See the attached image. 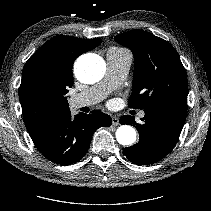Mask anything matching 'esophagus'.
<instances>
[{
    "instance_id": "esophagus-1",
    "label": "esophagus",
    "mask_w": 211,
    "mask_h": 211,
    "mask_svg": "<svg viewBox=\"0 0 211 211\" xmlns=\"http://www.w3.org/2000/svg\"><path fill=\"white\" fill-rule=\"evenodd\" d=\"M120 123H119V119L116 117V116H113L112 117V125L113 126H118Z\"/></svg>"
}]
</instances>
